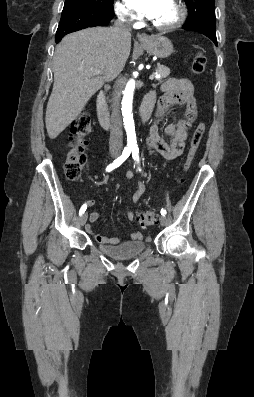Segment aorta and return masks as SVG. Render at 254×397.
Wrapping results in <instances>:
<instances>
[{"label":"aorta","mask_w":254,"mask_h":397,"mask_svg":"<svg viewBox=\"0 0 254 397\" xmlns=\"http://www.w3.org/2000/svg\"><path fill=\"white\" fill-rule=\"evenodd\" d=\"M134 89H135V81L130 80L123 91V99H122V115H123L124 127L127 134L128 147H134L137 144L135 125H134L133 113H132V101H133Z\"/></svg>","instance_id":"obj_1"}]
</instances>
